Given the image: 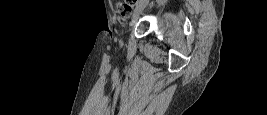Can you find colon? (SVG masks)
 <instances>
[{
	"label": "colon",
	"instance_id": "colon-1",
	"mask_svg": "<svg viewBox=\"0 0 267 115\" xmlns=\"http://www.w3.org/2000/svg\"><path fill=\"white\" fill-rule=\"evenodd\" d=\"M117 14L123 20H128L132 15V7L127 2H121L116 8Z\"/></svg>",
	"mask_w": 267,
	"mask_h": 115
}]
</instances>
